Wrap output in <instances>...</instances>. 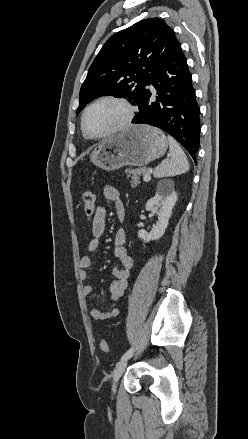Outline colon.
<instances>
[{
  "label": "colon",
  "instance_id": "5ec220e1",
  "mask_svg": "<svg viewBox=\"0 0 248 439\" xmlns=\"http://www.w3.org/2000/svg\"><path fill=\"white\" fill-rule=\"evenodd\" d=\"M82 200H83L84 212L88 218H91L95 212V194H94V192L90 189H86L83 192ZM99 347L104 353L110 354V352H111L110 347L104 339H101L99 341Z\"/></svg>",
  "mask_w": 248,
  "mask_h": 439
}]
</instances>
